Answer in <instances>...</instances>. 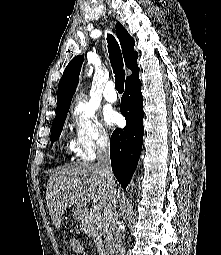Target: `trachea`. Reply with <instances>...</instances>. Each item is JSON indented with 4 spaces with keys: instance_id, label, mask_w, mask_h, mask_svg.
I'll return each mask as SVG.
<instances>
[{
    "instance_id": "trachea-1",
    "label": "trachea",
    "mask_w": 221,
    "mask_h": 255,
    "mask_svg": "<svg viewBox=\"0 0 221 255\" xmlns=\"http://www.w3.org/2000/svg\"><path fill=\"white\" fill-rule=\"evenodd\" d=\"M111 66L115 74V88L119 93L124 91L125 71L120 47L112 35L107 36Z\"/></svg>"
}]
</instances>
